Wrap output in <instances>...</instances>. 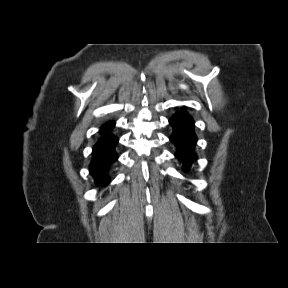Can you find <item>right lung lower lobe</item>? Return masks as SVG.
I'll use <instances>...</instances> for the list:
<instances>
[{
    "mask_svg": "<svg viewBox=\"0 0 288 288\" xmlns=\"http://www.w3.org/2000/svg\"><path fill=\"white\" fill-rule=\"evenodd\" d=\"M119 139L108 135L102 137L93 148V159L90 163V173L95 178V183L99 186H106L109 183V171L118 159L116 146Z\"/></svg>",
    "mask_w": 288,
    "mask_h": 288,
    "instance_id": "obj_1",
    "label": "right lung lower lobe"
}]
</instances>
